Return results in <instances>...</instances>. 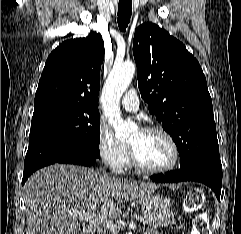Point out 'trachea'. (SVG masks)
Masks as SVG:
<instances>
[{"mask_svg":"<svg viewBox=\"0 0 241 234\" xmlns=\"http://www.w3.org/2000/svg\"><path fill=\"white\" fill-rule=\"evenodd\" d=\"M132 14V0H119L118 5V26L121 31H125Z\"/></svg>","mask_w":241,"mask_h":234,"instance_id":"3493384b","label":"trachea"}]
</instances>
